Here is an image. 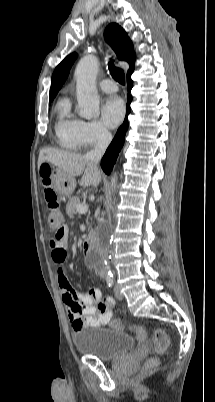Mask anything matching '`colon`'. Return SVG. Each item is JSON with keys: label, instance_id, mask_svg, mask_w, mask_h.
<instances>
[{"label": "colon", "instance_id": "colon-1", "mask_svg": "<svg viewBox=\"0 0 215 402\" xmlns=\"http://www.w3.org/2000/svg\"><path fill=\"white\" fill-rule=\"evenodd\" d=\"M39 178L43 180L44 187V199L46 208L48 211V225L52 229H59L61 224V215L59 211V201L57 194L51 187V183L49 181L50 178V168L49 162L43 161L42 165L39 168ZM111 326L115 329H119L122 327V322L118 319L113 320ZM130 329L133 331L135 336L141 340L145 341L147 339L146 330L141 326H132ZM153 343L155 345L156 351L159 353L164 352L169 346V338L166 332L162 329H156L153 332ZM156 365L155 359H150L146 368L150 369Z\"/></svg>", "mask_w": 215, "mask_h": 402}]
</instances>
